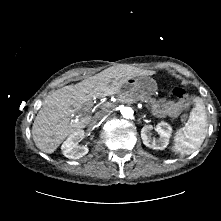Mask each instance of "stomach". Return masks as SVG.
Segmentation results:
<instances>
[{"mask_svg":"<svg viewBox=\"0 0 221 221\" xmlns=\"http://www.w3.org/2000/svg\"><path fill=\"white\" fill-rule=\"evenodd\" d=\"M123 85L125 92L132 93L135 96L149 95L154 91L153 80L145 76L132 77Z\"/></svg>","mask_w":221,"mask_h":221,"instance_id":"stomach-1","label":"stomach"}]
</instances>
